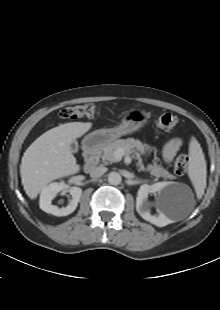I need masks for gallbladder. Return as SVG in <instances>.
Wrapping results in <instances>:
<instances>
[{"label":"gallbladder","mask_w":220,"mask_h":310,"mask_svg":"<svg viewBox=\"0 0 220 310\" xmlns=\"http://www.w3.org/2000/svg\"><path fill=\"white\" fill-rule=\"evenodd\" d=\"M71 151L73 152V153H77L78 152V148H79V146H78V143H77V141H72L71 142Z\"/></svg>","instance_id":"1"}]
</instances>
